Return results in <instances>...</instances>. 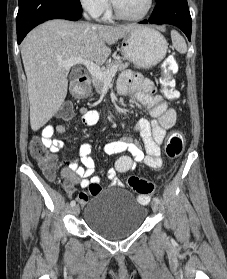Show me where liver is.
<instances>
[{
	"label": "liver",
	"instance_id": "6515ba94",
	"mask_svg": "<svg viewBox=\"0 0 227 279\" xmlns=\"http://www.w3.org/2000/svg\"><path fill=\"white\" fill-rule=\"evenodd\" d=\"M138 27L54 19L33 29L21 45L32 130L37 131L44 126L66 98L68 70L58 62L81 57L102 65L111 53L109 46Z\"/></svg>",
	"mask_w": 227,
	"mask_h": 279
}]
</instances>
